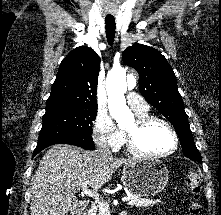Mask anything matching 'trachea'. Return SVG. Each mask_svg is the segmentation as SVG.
Instances as JSON below:
<instances>
[{
  "mask_svg": "<svg viewBox=\"0 0 221 215\" xmlns=\"http://www.w3.org/2000/svg\"><path fill=\"white\" fill-rule=\"evenodd\" d=\"M106 37L109 45H113L115 38L116 23L115 19H105Z\"/></svg>",
  "mask_w": 221,
  "mask_h": 215,
  "instance_id": "obj_1",
  "label": "trachea"
}]
</instances>
